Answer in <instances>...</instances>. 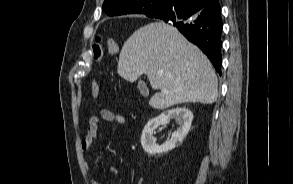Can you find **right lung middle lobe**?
I'll return each mask as SVG.
<instances>
[{
    "mask_svg": "<svg viewBox=\"0 0 293 184\" xmlns=\"http://www.w3.org/2000/svg\"><path fill=\"white\" fill-rule=\"evenodd\" d=\"M165 6V0L154 2V4L150 6V13L152 15L158 14L161 10L165 8Z\"/></svg>",
    "mask_w": 293,
    "mask_h": 184,
    "instance_id": "dd1d6c3e",
    "label": "right lung middle lobe"
}]
</instances>
